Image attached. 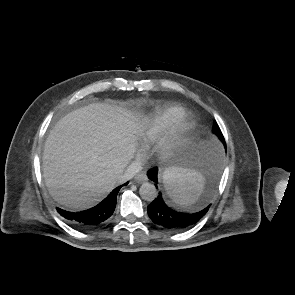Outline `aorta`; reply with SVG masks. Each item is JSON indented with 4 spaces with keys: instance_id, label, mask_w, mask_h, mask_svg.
I'll return each mask as SVG.
<instances>
[{
    "instance_id": "762f6f07",
    "label": "aorta",
    "mask_w": 295,
    "mask_h": 295,
    "mask_svg": "<svg viewBox=\"0 0 295 295\" xmlns=\"http://www.w3.org/2000/svg\"><path fill=\"white\" fill-rule=\"evenodd\" d=\"M139 193L141 198L148 202L153 201L158 196L156 187L149 182H145L140 186Z\"/></svg>"
}]
</instances>
